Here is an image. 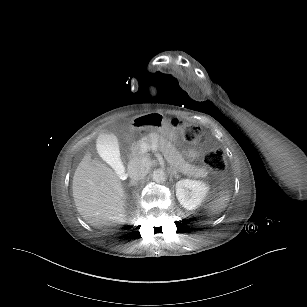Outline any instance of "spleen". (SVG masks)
<instances>
[{
	"label": "spleen",
	"instance_id": "obj_1",
	"mask_svg": "<svg viewBox=\"0 0 307 307\" xmlns=\"http://www.w3.org/2000/svg\"><path fill=\"white\" fill-rule=\"evenodd\" d=\"M233 198V192L229 188H224L218 195L215 196L214 201L207 205L206 213L210 217H215L224 210L227 203Z\"/></svg>",
	"mask_w": 307,
	"mask_h": 307
}]
</instances>
